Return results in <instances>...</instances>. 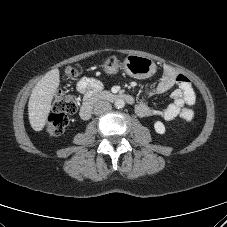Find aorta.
I'll return each mask as SVG.
<instances>
[{
	"label": "aorta",
	"mask_w": 227,
	"mask_h": 227,
	"mask_svg": "<svg viewBox=\"0 0 227 227\" xmlns=\"http://www.w3.org/2000/svg\"><path fill=\"white\" fill-rule=\"evenodd\" d=\"M114 105L117 109H121L125 106V101L123 99H117L115 100Z\"/></svg>",
	"instance_id": "obj_1"
}]
</instances>
